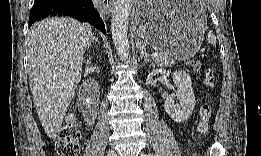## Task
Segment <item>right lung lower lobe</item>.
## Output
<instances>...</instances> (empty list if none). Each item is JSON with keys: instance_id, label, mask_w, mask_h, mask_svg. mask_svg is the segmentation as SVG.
Wrapping results in <instances>:
<instances>
[{"instance_id": "1", "label": "right lung lower lobe", "mask_w": 261, "mask_h": 156, "mask_svg": "<svg viewBox=\"0 0 261 156\" xmlns=\"http://www.w3.org/2000/svg\"><path fill=\"white\" fill-rule=\"evenodd\" d=\"M63 15L89 22L105 34V25L90 0H35L30 13L29 27L41 18Z\"/></svg>"}]
</instances>
